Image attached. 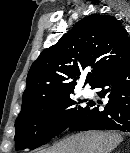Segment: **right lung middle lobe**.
<instances>
[{
    "instance_id": "right-lung-middle-lobe-1",
    "label": "right lung middle lobe",
    "mask_w": 130,
    "mask_h": 153,
    "mask_svg": "<svg viewBox=\"0 0 130 153\" xmlns=\"http://www.w3.org/2000/svg\"><path fill=\"white\" fill-rule=\"evenodd\" d=\"M80 102H83L80 101ZM84 110L70 95L38 105L15 121L17 150L35 149L67 129Z\"/></svg>"
}]
</instances>
